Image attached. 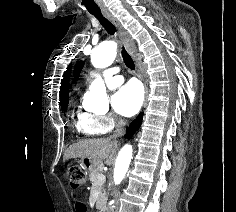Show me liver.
Listing matches in <instances>:
<instances>
[{
    "label": "liver",
    "mask_w": 236,
    "mask_h": 212,
    "mask_svg": "<svg viewBox=\"0 0 236 212\" xmlns=\"http://www.w3.org/2000/svg\"><path fill=\"white\" fill-rule=\"evenodd\" d=\"M117 149L118 142L113 138L86 139L69 146L64 153L63 161L71 158L90 157L99 162L106 159L107 165H111Z\"/></svg>",
    "instance_id": "obj_1"
}]
</instances>
